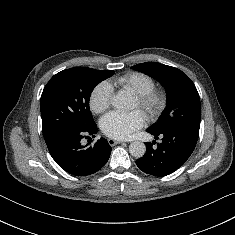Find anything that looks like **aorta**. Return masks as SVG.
<instances>
[{
    "label": "aorta",
    "instance_id": "aorta-1",
    "mask_svg": "<svg viewBox=\"0 0 235 235\" xmlns=\"http://www.w3.org/2000/svg\"><path fill=\"white\" fill-rule=\"evenodd\" d=\"M111 104L114 108L124 110L129 107V97L120 92L111 98ZM146 152V146L141 141H134L129 145V153L135 158H141Z\"/></svg>",
    "mask_w": 235,
    "mask_h": 235
}]
</instances>
